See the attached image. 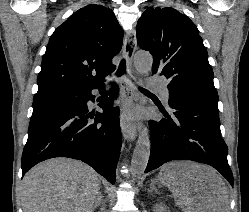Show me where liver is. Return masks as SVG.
<instances>
[{
	"label": "liver",
	"mask_w": 249,
	"mask_h": 212,
	"mask_svg": "<svg viewBox=\"0 0 249 212\" xmlns=\"http://www.w3.org/2000/svg\"><path fill=\"white\" fill-rule=\"evenodd\" d=\"M157 180L169 188L182 212H229L225 182L211 166L171 162ZM99 184L98 174L83 162L46 160L22 180L23 212H92Z\"/></svg>",
	"instance_id": "1"
}]
</instances>
